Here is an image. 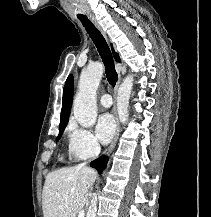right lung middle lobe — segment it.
Wrapping results in <instances>:
<instances>
[{"instance_id": "1", "label": "right lung middle lobe", "mask_w": 211, "mask_h": 217, "mask_svg": "<svg viewBox=\"0 0 211 217\" xmlns=\"http://www.w3.org/2000/svg\"><path fill=\"white\" fill-rule=\"evenodd\" d=\"M64 129L65 127L59 129V135L56 140H58L62 136Z\"/></svg>"}]
</instances>
